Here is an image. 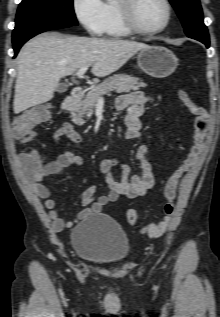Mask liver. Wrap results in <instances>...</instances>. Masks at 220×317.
<instances>
[{
	"instance_id": "obj_1",
	"label": "liver",
	"mask_w": 220,
	"mask_h": 317,
	"mask_svg": "<svg viewBox=\"0 0 220 317\" xmlns=\"http://www.w3.org/2000/svg\"><path fill=\"white\" fill-rule=\"evenodd\" d=\"M148 45L129 40L44 33L28 41L17 56L18 75L13 110L18 114L54 96L62 77L91 65L96 77L121 68Z\"/></svg>"
}]
</instances>
